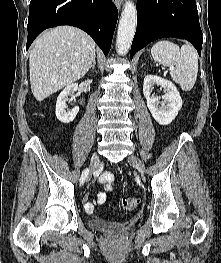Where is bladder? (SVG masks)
Instances as JSON below:
<instances>
[{"label":"bladder","mask_w":221,"mask_h":263,"mask_svg":"<svg viewBox=\"0 0 221 263\" xmlns=\"http://www.w3.org/2000/svg\"><path fill=\"white\" fill-rule=\"evenodd\" d=\"M89 225L91 228L99 230V231H116L123 230L128 227V224L113 220H105L101 218H92L89 221Z\"/></svg>","instance_id":"1"}]
</instances>
